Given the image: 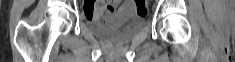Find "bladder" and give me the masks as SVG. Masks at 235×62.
<instances>
[{"instance_id":"bladder-1","label":"bladder","mask_w":235,"mask_h":62,"mask_svg":"<svg viewBox=\"0 0 235 62\" xmlns=\"http://www.w3.org/2000/svg\"><path fill=\"white\" fill-rule=\"evenodd\" d=\"M87 27L98 37L118 43L131 39L146 25L144 15L132 8H121L106 19L86 21Z\"/></svg>"}]
</instances>
